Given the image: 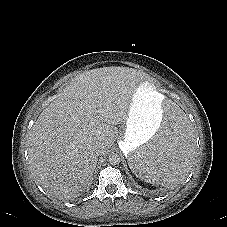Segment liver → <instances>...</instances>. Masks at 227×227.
Segmentation results:
<instances>
[{
	"mask_svg": "<svg viewBox=\"0 0 227 227\" xmlns=\"http://www.w3.org/2000/svg\"><path fill=\"white\" fill-rule=\"evenodd\" d=\"M144 78L127 67L93 69L76 76L41 112L28 133V156L45 191L69 199L89 186L97 145H113Z\"/></svg>",
	"mask_w": 227,
	"mask_h": 227,
	"instance_id": "obj_1",
	"label": "liver"
}]
</instances>
